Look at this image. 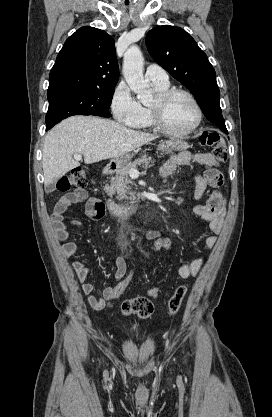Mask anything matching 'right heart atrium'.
I'll list each match as a JSON object with an SVG mask.
<instances>
[{
    "mask_svg": "<svg viewBox=\"0 0 272 417\" xmlns=\"http://www.w3.org/2000/svg\"><path fill=\"white\" fill-rule=\"evenodd\" d=\"M110 108L114 118L127 126H132L141 116V105L125 82H120L115 87Z\"/></svg>",
    "mask_w": 272,
    "mask_h": 417,
    "instance_id": "d8ad5b80",
    "label": "right heart atrium"
}]
</instances>
